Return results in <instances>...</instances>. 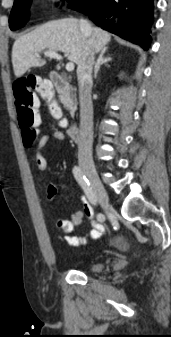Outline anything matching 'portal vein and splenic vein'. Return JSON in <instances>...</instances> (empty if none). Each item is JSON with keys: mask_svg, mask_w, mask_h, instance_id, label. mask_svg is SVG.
Returning a JSON list of instances; mask_svg holds the SVG:
<instances>
[{"mask_svg": "<svg viewBox=\"0 0 171 337\" xmlns=\"http://www.w3.org/2000/svg\"><path fill=\"white\" fill-rule=\"evenodd\" d=\"M44 55L46 57H49V58H54V59H58V60L62 59V56L59 55L58 53H56L55 51H46V52H44ZM74 67H75L74 63H72V62H69V63L66 64V70L69 71V72L73 71Z\"/></svg>", "mask_w": 171, "mask_h": 337, "instance_id": "18ae733b", "label": "portal vein and splenic vein"}]
</instances>
